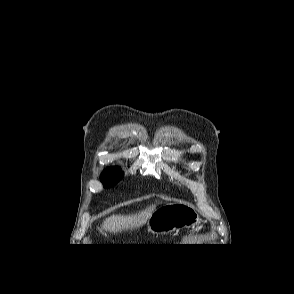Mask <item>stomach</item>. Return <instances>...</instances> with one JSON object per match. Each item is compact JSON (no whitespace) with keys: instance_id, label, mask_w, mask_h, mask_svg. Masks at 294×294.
<instances>
[{"instance_id":"1","label":"stomach","mask_w":294,"mask_h":294,"mask_svg":"<svg viewBox=\"0 0 294 294\" xmlns=\"http://www.w3.org/2000/svg\"><path fill=\"white\" fill-rule=\"evenodd\" d=\"M200 222L199 215L191 207L181 203H166L151 214L147 229L156 235H167L184 227L194 228Z\"/></svg>"}]
</instances>
